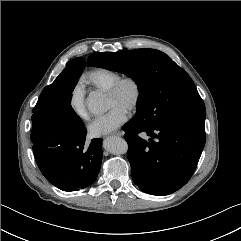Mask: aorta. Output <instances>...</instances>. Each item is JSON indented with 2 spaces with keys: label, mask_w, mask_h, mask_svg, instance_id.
<instances>
[{
  "label": "aorta",
  "mask_w": 241,
  "mask_h": 241,
  "mask_svg": "<svg viewBox=\"0 0 241 241\" xmlns=\"http://www.w3.org/2000/svg\"><path fill=\"white\" fill-rule=\"evenodd\" d=\"M88 110L93 114H102L106 111V101L103 94L92 92L88 97ZM104 147L112 154L120 155L128 151L127 142L120 137H109L104 141Z\"/></svg>",
  "instance_id": "762f6f07"
}]
</instances>
